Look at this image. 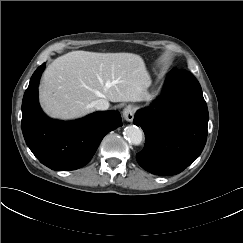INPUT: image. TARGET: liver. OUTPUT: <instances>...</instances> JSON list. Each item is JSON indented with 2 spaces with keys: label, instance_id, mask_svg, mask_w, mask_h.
<instances>
[{
  "label": "liver",
  "instance_id": "liver-1",
  "mask_svg": "<svg viewBox=\"0 0 243 243\" xmlns=\"http://www.w3.org/2000/svg\"><path fill=\"white\" fill-rule=\"evenodd\" d=\"M147 75L144 60L133 53L72 51L45 70L39 97L51 117L73 120L94 112V102L138 101Z\"/></svg>",
  "mask_w": 243,
  "mask_h": 243
}]
</instances>
